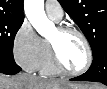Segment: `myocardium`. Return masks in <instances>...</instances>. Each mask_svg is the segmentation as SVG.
Returning a JSON list of instances; mask_svg holds the SVG:
<instances>
[{
  "label": "myocardium",
  "mask_w": 107,
  "mask_h": 89,
  "mask_svg": "<svg viewBox=\"0 0 107 89\" xmlns=\"http://www.w3.org/2000/svg\"><path fill=\"white\" fill-rule=\"evenodd\" d=\"M58 32L61 34H75L78 37H80V39L82 40V42L84 43L85 49H86V62L85 65L79 69V70H69L62 62L58 51L55 47V45L53 44V42L49 41V46H50V50H51V54H52V59L54 62L55 67L59 70V72L69 75V76H78L81 75L83 73H85L92 65L93 62V51H92V47L90 45V42L88 40V38L86 37V35L80 31L79 29L75 28V27H71V26H60L57 28Z\"/></svg>",
  "instance_id": "1"
}]
</instances>
